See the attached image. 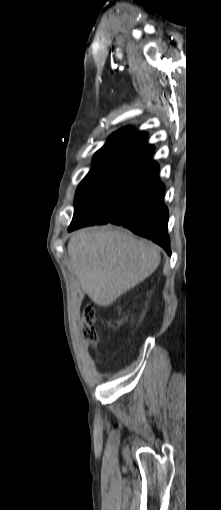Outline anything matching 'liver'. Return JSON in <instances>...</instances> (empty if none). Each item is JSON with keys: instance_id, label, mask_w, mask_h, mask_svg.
Instances as JSON below:
<instances>
[{"instance_id": "obj_1", "label": "liver", "mask_w": 221, "mask_h": 510, "mask_svg": "<svg viewBox=\"0 0 221 510\" xmlns=\"http://www.w3.org/2000/svg\"><path fill=\"white\" fill-rule=\"evenodd\" d=\"M68 255L82 290L98 306L113 303L144 281L161 259L157 245L111 226L76 231Z\"/></svg>"}]
</instances>
